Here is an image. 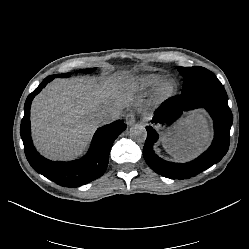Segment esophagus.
Here are the masks:
<instances>
[{
  "label": "esophagus",
  "instance_id": "34e87169",
  "mask_svg": "<svg viewBox=\"0 0 249 249\" xmlns=\"http://www.w3.org/2000/svg\"><path fill=\"white\" fill-rule=\"evenodd\" d=\"M125 121L128 126H132L136 122L135 113L133 110H129L125 115Z\"/></svg>",
  "mask_w": 249,
  "mask_h": 249
}]
</instances>
